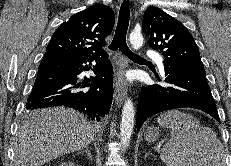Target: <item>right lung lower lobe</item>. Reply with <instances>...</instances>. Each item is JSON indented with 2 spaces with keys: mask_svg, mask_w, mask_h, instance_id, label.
<instances>
[{
  "mask_svg": "<svg viewBox=\"0 0 231 166\" xmlns=\"http://www.w3.org/2000/svg\"><path fill=\"white\" fill-rule=\"evenodd\" d=\"M107 58V54L69 57L45 53L26 109L63 105L99 121L109 112L113 99V68ZM92 61L95 66H91ZM92 67L96 77L83 78L82 71Z\"/></svg>",
  "mask_w": 231,
  "mask_h": 166,
  "instance_id": "98d812e1",
  "label": "right lung lower lobe"
}]
</instances>
